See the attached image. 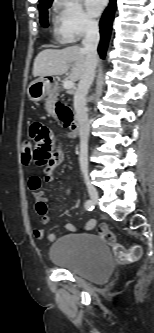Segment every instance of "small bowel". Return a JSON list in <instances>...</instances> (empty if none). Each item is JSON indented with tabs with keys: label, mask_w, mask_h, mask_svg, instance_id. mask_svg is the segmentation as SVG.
Here are the masks:
<instances>
[{
	"label": "small bowel",
	"mask_w": 154,
	"mask_h": 333,
	"mask_svg": "<svg viewBox=\"0 0 154 333\" xmlns=\"http://www.w3.org/2000/svg\"><path fill=\"white\" fill-rule=\"evenodd\" d=\"M29 138L33 143V157L34 162L38 166L44 167L42 176H32L29 179V188L33 192L36 200V211L41 217V222L44 226L48 225L50 218L48 215V200L45 193L41 190L43 182L49 183L54 179V170L63 162L64 154L60 147L56 145L55 136L53 132L45 125L35 122L31 125L29 130ZM72 190H68L70 194ZM95 221H89L85 229L90 230L94 227ZM65 229L68 231H76L77 228L71 224H65ZM33 235L36 239H47L49 242L56 240V235L48 232L45 228H35Z\"/></svg>",
	"instance_id": "1"
}]
</instances>
